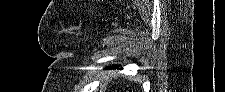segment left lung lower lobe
<instances>
[{
	"instance_id": "1",
	"label": "left lung lower lobe",
	"mask_w": 225,
	"mask_h": 92,
	"mask_svg": "<svg viewBox=\"0 0 225 92\" xmlns=\"http://www.w3.org/2000/svg\"><path fill=\"white\" fill-rule=\"evenodd\" d=\"M106 68H110V69L118 68V65L117 66L106 67Z\"/></svg>"
}]
</instances>
